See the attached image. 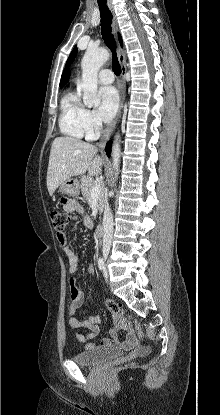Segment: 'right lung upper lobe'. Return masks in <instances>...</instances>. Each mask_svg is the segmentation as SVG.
<instances>
[{"instance_id": "1", "label": "right lung upper lobe", "mask_w": 220, "mask_h": 415, "mask_svg": "<svg viewBox=\"0 0 220 415\" xmlns=\"http://www.w3.org/2000/svg\"><path fill=\"white\" fill-rule=\"evenodd\" d=\"M118 37H119V41H120L121 46H122L121 36L118 35ZM69 77H70V70L69 69H65L63 71V73H62V77H61V81H60V86H63L68 81Z\"/></svg>"}]
</instances>
